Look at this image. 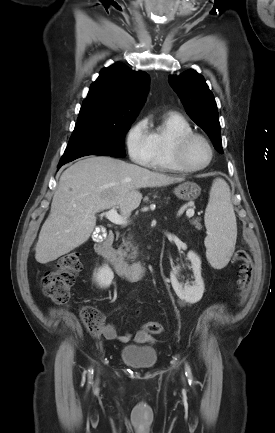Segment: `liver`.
I'll return each mask as SVG.
<instances>
[{"instance_id": "obj_1", "label": "liver", "mask_w": 275, "mask_h": 433, "mask_svg": "<svg viewBox=\"0 0 275 433\" xmlns=\"http://www.w3.org/2000/svg\"><path fill=\"white\" fill-rule=\"evenodd\" d=\"M182 181L106 156L76 162L60 177L36 244V261L46 264L85 243L96 226L95 214L102 210L117 207L128 218L141 203L140 188Z\"/></svg>"}]
</instances>
